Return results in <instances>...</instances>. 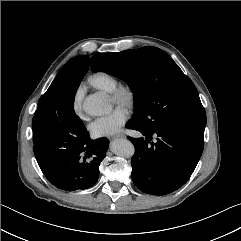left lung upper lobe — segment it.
<instances>
[{
	"label": "left lung upper lobe",
	"mask_w": 241,
	"mask_h": 241,
	"mask_svg": "<svg viewBox=\"0 0 241 241\" xmlns=\"http://www.w3.org/2000/svg\"><path fill=\"white\" fill-rule=\"evenodd\" d=\"M93 72H105L124 80L134 95L132 119L146 131L175 123L205 128L206 113L198 91L173 59L156 47L91 58Z\"/></svg>",
	"instance_id": "obj_1"
}]
</instances>
